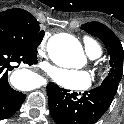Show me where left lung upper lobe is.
<instances>
[{
  "label": "left lung upper lobe",
  "instance_id": "5c2ea615",
  "mask_svg": "<svg viewBox=\"0 0 124 124\" xmlns=\"http://www.w3.org/2000/svg\"><path fill=\"white\" fill-rule=\"evenodd\" d=\"M81 28L100 38L107 48L110 55L111 70L101 86L109 87L116 93L123 74L124 51L119 39L107 26L99 22H88L83 24Z\"/></svg>",
  "mask_w": 124,
  "mask_h": 124
}]
</instances>
